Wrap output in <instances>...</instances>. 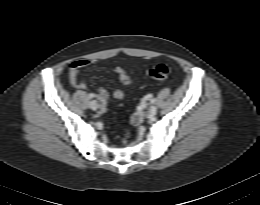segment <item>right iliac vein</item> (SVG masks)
I'll return each instance as SVG.
<instances>
[{"label":"right iliac vein","mask_w":260,"mask_h":205,"mask_svg":"<svg viewBox=\"0 0 260 205\" xmlns=\"http://www.w3.org/2000/svg\"><path fill=\"white\" fill-rule=\"evenodd\" d=\"M89 106L94 111H96L99 108V105L96 100L90 101Z\"/></svg>","instance_id":"right-iliac-vein-1"}]
</instances>
